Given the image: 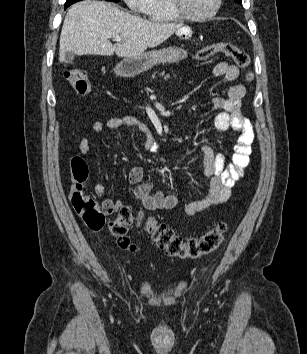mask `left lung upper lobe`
I'll return each mask as SVG.
<instances>
[{"label":"left lung upper lobe","instance_id":"5c2ea615","mask_svg":"<svg viewBox=\"0 0 307 354\" xmlns=\"http://www.w3.org/2000/svg\"><path fill=\"white\" fill-rule=\"evenodd\" d=\"M236 2H238V3H241L242 1L241 0H235Z\"/></svg>","mask_w":307,"mask_h":354}]
</instances>
